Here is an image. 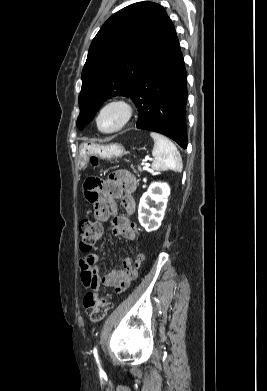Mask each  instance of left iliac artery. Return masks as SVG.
Segmentation results:
<instances>
[{
	"instance_id": "44dca946",
	"label": "left iliac artery",
	"mask_w": 267,
	"mask_h": 391,
	"mask_svg": "<svg viewBox=\"0 0 267 391\" xmlns=\"http://www.w3.org/2000/svg\"><path fill=\"white\" fill-rule=\"evenodd\" d=\"M93 353H94V356L96 358L97 363H99V360H98V357H97V350H96V348H94Z\"/></svg>"
}]
</instances>
